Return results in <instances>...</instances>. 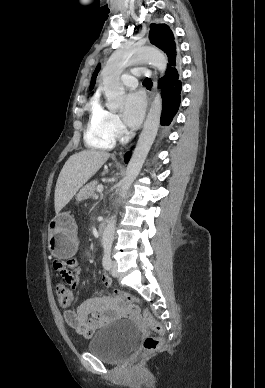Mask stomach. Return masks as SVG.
Segmentation results:
<instances>
[{
  "label": "stomach",
  "instance_id": "obj_1",
  "mask_svg": "<svg viewBox=\"0 0 265 388\" xmlns=\"http://www.w3.org/2000/svg\"><path fill=\"white\" fill-rule=\"evenodd\" d=\"M48 247L58 258L71 257L77 247V226L69 213L56 215L48 225Z\"/></svg>",
  "mask_w": 265,
  "mask_h": 388
}]
</instances>
